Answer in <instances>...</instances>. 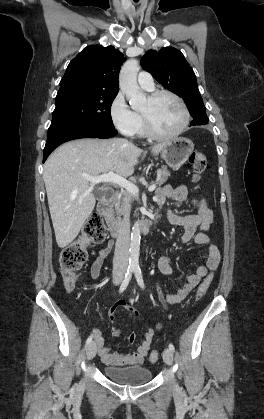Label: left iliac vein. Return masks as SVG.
Wrapping results in <instances>:
<instances>
[{"label":"left iliac vein","instance_id":"4c4485c4","mask_svg":"<svg viewBox=\"0 0 264 419\" xmlns=\"http://www.w3.org/2000/svg\"><path fill=\"white\" fill-rule=\"evenodd\" d=\"M163 360L166 364L172 365L173 363V353L170 349H165L163 352Z\"/></svg>","mask_w":264,"mask_h":419}]
</instances>
